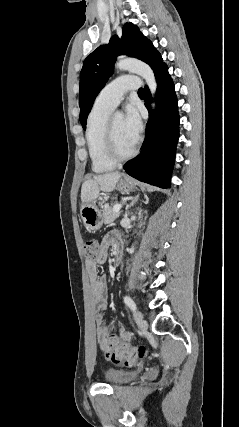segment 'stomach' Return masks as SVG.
<instances>
[{"mask_svg":"<svg viewBox=\"0 0 239 427\" xmlns=\"http://www.w3.org/2000/svg\"><path fill=\"white\" fill-rule=\"evenodd\" d=\"M136 188L135 181L131 179H123L118 185L117 189L122 193H130ZM82 221L89 231H96L103 225V216L94 202L84 203L80 209Z\"/></svg>","mask_w":239,"mask_h":427,"instance_id":"stomach-1","label":"stomach"}]
</instances>
